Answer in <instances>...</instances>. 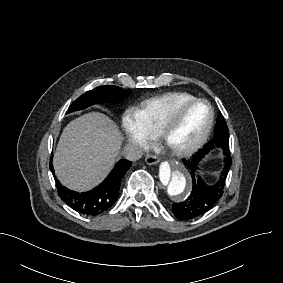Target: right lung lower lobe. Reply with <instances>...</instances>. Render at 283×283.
<instances>
[{
  "label": "right lung lower lobe",
  "mask_w": 283,
  "mask_h": 283,
  "mask_svg": "<svg viewBox=\"0 0 283 283\" xmlns=\"http://www.w3.org/2000/svg\"><path fill=\"white\" fill-rule=\"evenodd\" d=\"M50 161L52 162V156ZM131 165L130 161L120 160L99 186L84 193L63 187L55 178L58 195L66 204L81 214L95 216L103 213L116 202L121 180ZM50 169L54 174L52 163H50Z\"/></svg>",
  "instance_id": "98d812e1"
}]
</instances>
